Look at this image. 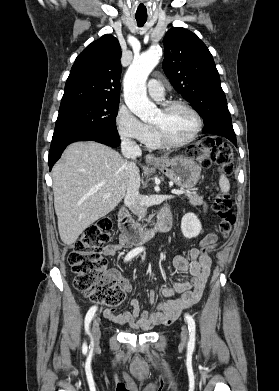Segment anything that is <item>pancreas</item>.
<instances>
[{"instance_id": "1", "label": "pancreas", "mask_w": 279, "mask_h": 391, "mask_svg": "<svg viewBox=\"0 0 279 391\" xmlns=\"http://www.w3.org/2000/svg\"><path fill=\"white\" fill-rule=\"evenodd\" d=\"M186 197L189 200V203L193 206H199L203 204V197L196 194L195 192L186 193Z\"/></svg>"}]
</instances>
